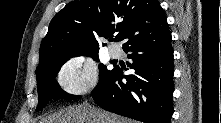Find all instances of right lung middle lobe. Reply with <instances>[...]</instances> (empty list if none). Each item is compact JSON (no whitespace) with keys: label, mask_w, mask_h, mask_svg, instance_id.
Segmentation results:
<instances>
[{"label":"right lung middle lobe","mask_w":221,"mask_h":123,"mask_svg":"<svg viewBox=\"0 0 221 123\" xmlns=\"http://www.w3.org/2000/svg\"><path fill=\"white\" fill-rule=\"evenodd\" d=\"M80 55L82 56L89 55L96 61H99L98 51L90 52V53H83ZM80 55L63 57L36 69L37 90H38V99H39L37 110H41L42 108H44L46 104L49 102V100L51 99H71L72 100V99L80 98V96L71 95L63 91L55 80V76L59 72L61 66L71 57L80 56ZM109 72L110 71L107 70L103 64H99V82Z\"/></svg>","instance_id":"dd1d6c3e"}]
</instances>
